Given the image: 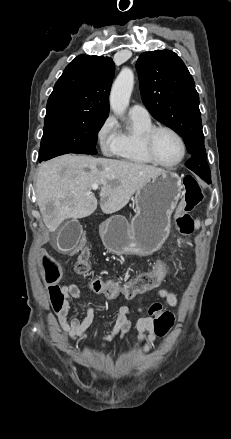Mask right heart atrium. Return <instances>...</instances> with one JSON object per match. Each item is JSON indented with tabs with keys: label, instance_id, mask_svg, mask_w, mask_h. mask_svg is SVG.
<instances>
[{
	"label": "right heart atrium",
	"instance_id": "right-heart-atrium-1",
	"mask_svg": "<svg viewBox=\"0 0 231 439\" xmlns=\"http://www.w3.org/2000/svg\"><path fill=\"white\" fill-rule=\"evenodd\" d=\"M96 137L103 154L114 155L119 143V130L113 116L109 115L101 122Z\"/></svg>",
	"mask_w": 231,
	"mask_h": 439
}]
</instances>
